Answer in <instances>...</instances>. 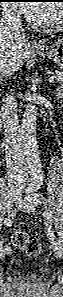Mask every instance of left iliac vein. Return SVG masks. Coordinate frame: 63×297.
<instances>
[{"label":"left iliac vein","mask_w":63,"mask_h":297,"mask_svg":"<svg viewBox=\"0 0 63 297\" xmlns=\"http://www.w3.org/2000/svg\"><path fill=\"white\" fill-rule=\"evenodd\" d=\"M16 205L20 210L25 211V212H31L33 210L32 204L26 198L21 197V196H19L17 198ZM54 251H55L56 255H58V256L60 255V253L62 251V246L59 242L55 243Z\"/></svg>","instance_id":"4c4485c4"}]
</instances>
